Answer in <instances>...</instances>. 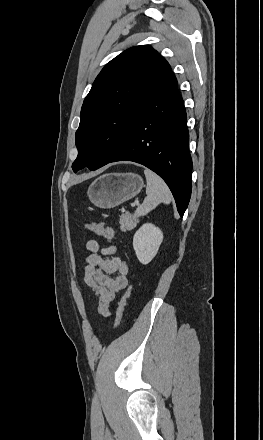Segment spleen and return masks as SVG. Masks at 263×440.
Segmentation results:
<instances>
[{
  "instance_id": "1",
  "label": "spleen",
  "mask_w": 263,
  "mask_h": 440,
  "mask_svg": "<svg viewBox=\"0 0 263 440\" xmlns=\"http://www.w3.org/2000/svg\"><path fill=\"white\" fill-rule=\"evenodd\" d=\"M144 174L147 182L146 197L135 211L137 217L145 216L161 203L169 204L172 201L171 191L161 177L149 169H145Z\"/></svg>"
}]
</instances>
